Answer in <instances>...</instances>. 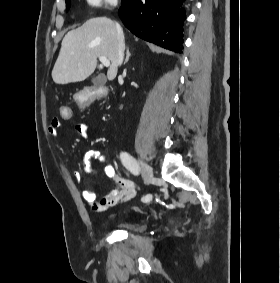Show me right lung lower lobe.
I'll list each match as a JSON object with an SVG mask.
<instances>
[{"label":"right lung lower lobe","instance_id":"obj_1","mask_svg":"<svg viewBox=\"0 0 280 283\" xmlns=\"http://www.w3.org/2000/svg\"><path fill=\"white\" fill-rule=\"evenodd\" d=\"M184 0H124L119 16L136 36L171 51L181 50L186 14Z\"/></svg>","mask_w":280,"mask_h":283}]
</instances>
